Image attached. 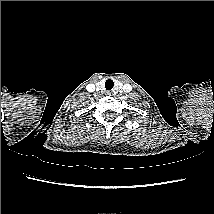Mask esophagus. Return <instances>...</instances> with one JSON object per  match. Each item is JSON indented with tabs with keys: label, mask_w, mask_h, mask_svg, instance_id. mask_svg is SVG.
Segmentation results:
<instances>
[{
	"label": "esophagus",
	"mask_w": 214,
	"mask_h": 214,
	"mask_svg": "<svg viewBox=\"0 0 214 214\" xmlns=\"http://www.w3.org/2000/svg\"><path fill=\"white\" fill-rule=\"evenodd\" d=\"M106 94H107L108 96H111V95H112V92H111V91H107Z\"/></svg>",
	"instance_id": "obj_1"
}]
</instances>
